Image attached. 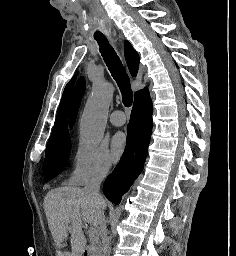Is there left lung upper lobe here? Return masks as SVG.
Wrapping results in <instances>:
<instances>
[{
  "label": "left lung upper lobe",
  "mask_w": 236,
  "mask_h": 256,
  "mask_svg": "<svg viewBox=\"0 0 236 256\" xmlns=\"http://www.w3.org/2000/svg\"><path fill=\"white\" fill-rule=\"evenodd\" d=\"M84 91H85V80L83 77H81L74 89L72 99H71V104H70V125H71V127L75 123L78 109H79Z\"/></svg>",
  "instance_id": "obj_1"
}]
</instances>
